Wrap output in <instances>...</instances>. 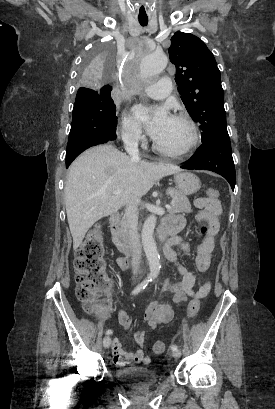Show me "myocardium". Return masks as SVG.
Instances as JSON below:
<instances>
[{"mask_svg":"<svg viewBox=\"0 0 275 409\" xmlns=\"http://www.w3.org/2000/svg\"><path fill=\"white\" fill-rule=\"evenodd\" d=\"M170 118L183 122L187 125L189 129V138L187 142L180 148L177 149H169L163 146H160L158 143L155 142L153 137L151 138L152 148L159 154L167 155V156H181L188 153L198 141V129L195 122L187 115L184 114H172Z\"/></svg>","mask_w":275,"mask_h":409,"instance_id":"f54148a6","label":"myocardium"}]
</instances>
